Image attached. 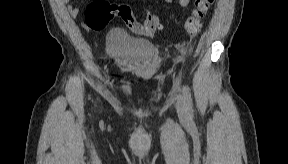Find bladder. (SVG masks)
Segmentation results:
<instances>
[{
	"label": "bladder",
	"instance_id": "1",
	"mask_svg": "<svg viewBox=\"0 0 288 164\" xmlns=\"http://www.w3.org/2000/svg\"><path fill=\"white\" fill-rule=\"evenodd\" d=\"M107 48L120 65L132 71L148 68L156 55V48L150 41L130 39L119 34L109 37Z\"/></svg>",
	"mask_w": 288,
	"mask_h": 164
}]
</instances>
